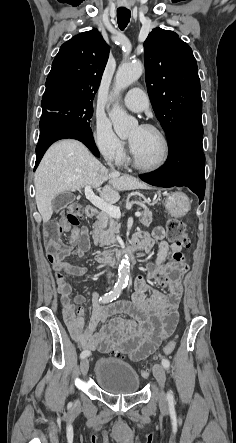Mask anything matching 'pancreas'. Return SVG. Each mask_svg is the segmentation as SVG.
Returning <instances> with one entry per match:
<instances>
[{
  "label": "pancreas",
  "instance_id": "cf45deb5",
  "mask_svg": "<svg viewBox=\"0 0 236 443\" xmlns=\"http://www.w3.org/2000/svg\"><path fill=\"white\" fill-rule=\"evenodd\" d=\"M139 221L145 227H149L152 223V212L149 211L148 208L143 207L142 217L139 219ZM92 228L93 231L91 234L94 245L105 247L116 243V233H118L120 229V224L107 213H99Z\"/></svg>",
  "mask_w": 236,
  "mask_h": 443
}]
</instances>
